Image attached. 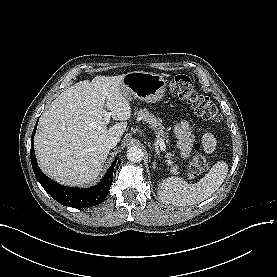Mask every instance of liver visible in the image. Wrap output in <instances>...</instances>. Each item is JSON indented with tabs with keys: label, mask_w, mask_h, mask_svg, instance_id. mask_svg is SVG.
<instances>
[{
	"label": "liver",
	"mask_w": 277,
	"mask_h": 277,
	"mask_svg": "<svg viewBox=\"0 0 277 277\" xmlns=\"http://www.w3.org/2000/svg\"><path fill=\"white\" fill-rule=\"evenodd\" d=\"M125 74L96 76L63 91L42 114L34 139L41 170L63 185L87 186L95 183L110 149L108 137L121 136L131 107L121 91ZM121 121L107 129L104 111Z\"/></svg>",
	"instance_id": "6515ba94"
}]
</instances>
